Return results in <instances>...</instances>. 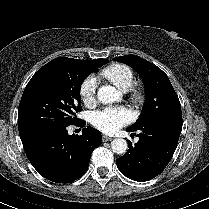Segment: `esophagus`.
Listing matches in <instances>:
<instances>
[{
	"mask_svg": "<svg viewBox=\"0 0 209 209\" xmlns=\"http://www.w3.org/2000/svg\"><path fill=\"white\" fill-rule=\"evenodd\" d=\"M112 140H113L112 137H109V136H106V135H103V136H102V141H103V142H108V141H112Z\"/></svg>",
	"mask_w": 209,
	"mask_h": 209,
	"instance_id": "34e87169",
	"label": "esophagus"
}]
</instances>
